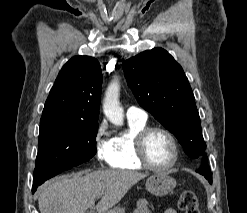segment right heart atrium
Here are the masks:
<instances>
[{
	"instance_id": "d8ad5b80",
	"label": "right heart atrium",
	"mask_w": 247,
	"mask_h": 213,
	"mask_svg": "<svg viewBox=\"0 0 247 213\" xmlns=\"http://www.w3.org/2000/svg\"><path fill=\"white\" fill-rule=\"evenodd\" d=\"M107 124L101 122L94 135L95 155L99 162L110 164L112 159L111 141L106 138Z\"/></svg>"
}]
</instances>
